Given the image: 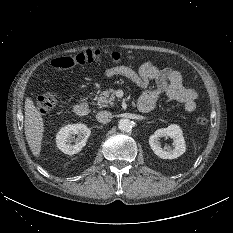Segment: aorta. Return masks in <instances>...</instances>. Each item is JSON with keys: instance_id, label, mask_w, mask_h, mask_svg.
<instances>
[{"instance_id": "762f6f07", "label": "aorta", "mask_w": 233, "mask_h": 233, "mask_svg": "<svg viewBox=\"0 0 233 233\" xmlns=\"http://www.w3.org/2000/svg\"><path fill=\"white\" fill-rule=\"evenodd\" d=\"M133 127L132 121L126 118H122L118 121V128L122 132H129Z\"/></svg>"}]
</instances>
